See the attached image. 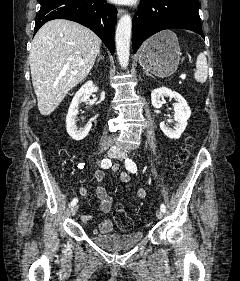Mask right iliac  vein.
Listing matches in <instances>:
<instances>
[{"label": "right iliac vein", "mask_w": 240, "mask_h": 281, "mask_svg": "<svg viewBox=\"0 0 240 281\" xmlns=\"http://www.w3.org/2000/svg\"><path fill=\"white\" fill-rule=\"evenodd\" d=\"M118 152V149L116 147H111L108 149L107 151V156L109 158H113ZM78 211V205H74L72 208H71V215L74 216Z\"/></svg>", "instance_id": "63e3f726"}]
</instances>
